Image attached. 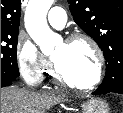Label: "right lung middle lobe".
I'll return each instance as SVG.
<instances>
[{"label": "right lung middle lobe", "mask_w": 123, "mask_h": 113, "mask_svg": "<svg viewBox=\"0 0 123 113\" xmlns=\"http://www.w3.org/2000/svg\"><path fill=\"white\" fill-rule=\"evenodd\" d=\"M18 29L1 30V80L14 81L19 76L17 65Z\"/></svg>", "instance_id": "right-lung-middle-lobe-1"}]
</instances>
